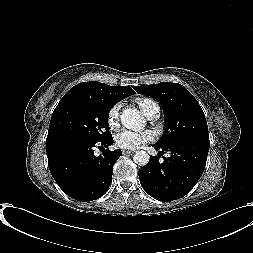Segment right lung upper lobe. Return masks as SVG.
Instances as JSON below:
<instances>
[{"instance_id":"obj_1","label":"right lung upper lobe","mask_w":253,"mask_h":253,"mask_svg":"<svg viewBox=\"0 0 253 253\" xmlns=\"http://www.w3.org/2000/svg\"><path fill=\"white\" fill-rule=\"evenodd\" d=\"M80 92L110 100L114 103L135 94L129 86H109L97 81L82 82L72 87L67 93Z\"/></svg>"}]
</instances>
